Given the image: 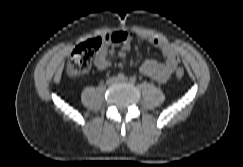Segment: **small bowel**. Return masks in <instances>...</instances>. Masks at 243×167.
<instances>
[{"label": "small bowel", "instance_id": "c3829d8e", "mask_svg": "<svg viewBox=\"0 0 243 167\" xmlns=\"http://www.w3.org/2000/svg\"><path fill=\"white\" fill-rule=\"evenodd\" d=\"M104 44L95 57V66L98 70H105L115 58H124L131 47L133 34L125 31H115L106 34ZM151 45L157 47L163 54L165 61L146 60L141 66V72L157 82L164 83L177 69L180 59L175 48L153 36H144Z\"/></svg>", "mask_w": 243, "mask_h": 167}]
</instances>
